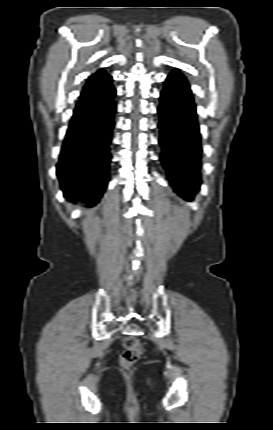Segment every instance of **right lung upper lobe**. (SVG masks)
I'll use <instances>...</instances> for the list:
<instances>
[{
  "label": "right lung upper lobe",
  "instance_id": "right-lung-upper-lobe-1",
  "mask_svg": "<svg viewBox=\"0 0 273 430\" xmlns=\"http://www.w3.org/2000/svg\"><path fill=\"white\" fill-rule=\"evenodd\" d=\"M107 75H108V74H106L104 70H99L97 73L93 74V75L89 78L88 82H92V81H94V80H96V79H100V78L105 77V76H107Z\"/></svg>",
  "mask_w": 273,
  "mask_h": 430
}]
</instances>
